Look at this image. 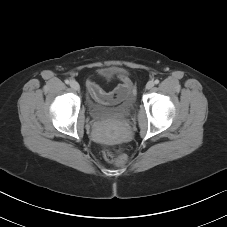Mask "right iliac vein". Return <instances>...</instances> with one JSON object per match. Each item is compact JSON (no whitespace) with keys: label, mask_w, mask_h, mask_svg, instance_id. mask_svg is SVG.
<instances>
[{"label":"right iliac vein","mask_w":227,"mask_h":227,"mask_svg":"<svg viewBox=\"0 0 227 227\" xmlns=\"http://www.w3.org/2000/svg\"><path fill=\"white\" fill-rule=\"evenodd\" d=\"M70 86H71V88H72L73 90H75V91H79V90H80V85H79V83H78L77 81H75V80H72V81L70 82Z\"/></svg>","instance_id":"obj_1"}]
</instances>
